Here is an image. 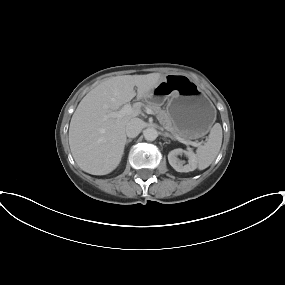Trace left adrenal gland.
<instances>
[{"instance_id": "left-adrenal-gland-1", "label": "left adrenal gland", "mask_w": 285, "mask_h": 285, "mask_svg": "<svg viewBox=\"0 0 285 285\" xmlns=\"http://www.w3.org/2000/svg\"><path fill=\"white\" fill-rule=\"evenodd\" d=\"M163 135H164V137H169L170 139L175 140V138L172 135H170L169 133L165 132Z\"/></svg>"}]
</instances>
